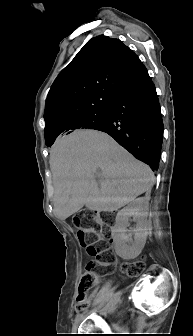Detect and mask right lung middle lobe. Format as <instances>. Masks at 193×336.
<instances>
[{
  "mask_svg": "<svg viewBox=\"0 0 193 336\" xmlns=\"http://www.w3.org/2000/svg\"><path fill=\"white\" fill-rule=\"evenodd\" d=\"M108 108L94 110L81 115L74 122V130L76 129H101L107 122ZM54 141L50 138L46 140L47 146H51Z\"/></svg>",
  "mask_w": 193,
  "mask_h": 336,
  "instance_id": "dd1d6c3e",
  "label": "right lung middle lobe"
}]
</instances>
